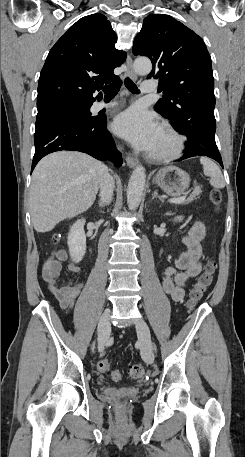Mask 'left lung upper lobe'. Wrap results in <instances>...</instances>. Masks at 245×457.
Here are the masks:
<instances>
[{"label":"left lung upper lobe","instance_id":"1","mask_svg":"<svg viewBox=\"0 0 245 457\" xmlns=\"http://www.w3.org/2000/svg\"><path fill=\"white\" fill-rule=\"evenodd\" d=\"M132 51L151 59L147 78H157L165 94L154 109L173 125L197 112H214L211 58L203 40L188 27L171 16L150 14Z\"/></svg>","mask_w":245,"mask_h":457}]
</instances>
